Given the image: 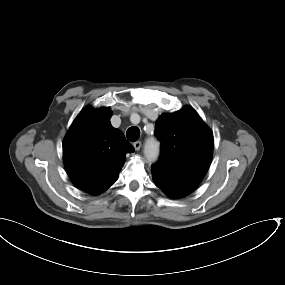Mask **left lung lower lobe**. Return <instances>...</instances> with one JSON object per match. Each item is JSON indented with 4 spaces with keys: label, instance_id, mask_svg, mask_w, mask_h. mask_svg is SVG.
I'll return each mask as SVG.
<instances>
[{
    "label": "left lung lower lobe",
    "instance_id": "obj_1",
    "mask_svg": "<svg viewBox=\"0 0 285 285\" xmlns=\"http://www.w3.org/2000/svg\"><path fill=\"white\" fill-rule=\"evenodd\" d=\"M155 185L171 198H182L193 192L198 185L169 177L156 169H152Z\"/></svg>",
    "mask_w": 285,
    "mask_h": 285
}]
</instances>
